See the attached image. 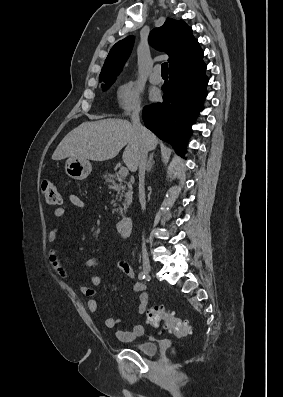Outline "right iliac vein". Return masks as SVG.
I'll use <instances>...</instances> for the list:
<instances>
[{
  "instance_id": "right-iliac-vein-1",
  "label": "right iliac vein",
  "mask_w": 283,
  "mask_h": 397,
  "mask_svg": "<svg viewBox=\"0 0 283 397\" xmlns=\"http://www.w3.org/2000/svg\"><path fill=\"white\" fill-rule=\"evenodd\" d=\"M142 267H143V272L147 276H149L150 272H151V266H150V261H149V257L147 254L143 255Z\"/></svg>"
}]
</instances>
